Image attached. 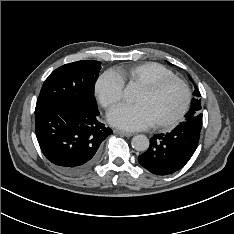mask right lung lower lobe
<instances>
[{"instance_id": "right-lung-lower-lobe-1", "label": "right lung lower lobe", "mask_w": 234, "mask_h": 234, "mask_svg": "<svg viewBox=\"0 0 234 234\" xmlns=\"http://www.w3.org/2000/svg\"><path fill=\"white\" fill-rule=\"evenodd\" d=\"M98 110L88 111L57 104L35 112V131L45 157L62 172L79 175L98 160L99 147L111 133L97 120Z\"/></svg>"}]
</instances>
